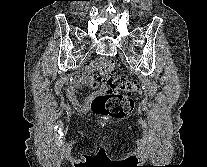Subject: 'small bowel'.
Masks as SVG:
<instances>
[{"label":"small bowel","mask_w":207,"mask_h":167,"mask_svg":"<svg viewBox=\"0 0 207 167\" xmlns=\"http://www.w3.org/2000/svg\"><path fill=\"white\" fill-rule=\"evenodd\" d=\"M88 85L92 88H97V83L93 80L89 72H83L79 74L76 79L70 84L67 90V95L74 107L80 112H86L91 102L94 98V95L88 96L84 101H81L77 96V90L83 86Z\"/></svg>","instance_id":"obj_1"}]
</instances>
